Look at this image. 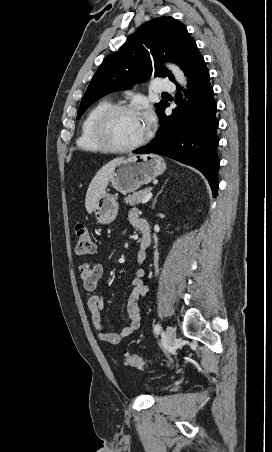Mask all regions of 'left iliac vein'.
<instances>
[{"mask_svg":"<svg viewBox=\"0 0 272 452\" xmlns=\"http://www.w3.org/2000/svg\"><path fill=\"white\" fill-rule=\"evenodd\" d=\"M165 335L167 345L172 346L176 340V330L172 326H167Z\"/></svg>","mask_w":272,"mask_h":452,"instance_id":"left-iliac-vein-1","label":"left iliac vein"}]
</instances>
